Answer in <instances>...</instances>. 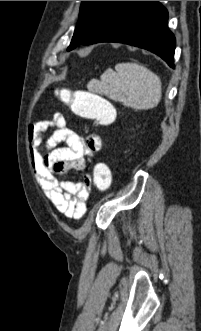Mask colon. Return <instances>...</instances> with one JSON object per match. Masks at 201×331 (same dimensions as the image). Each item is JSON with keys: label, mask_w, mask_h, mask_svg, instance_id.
Instances as JSON below:
<instances>
[{"label": "colon", "mask_w": 201, "mask_h": 331, "mask_svg": "<svg viewBox=\"0 0 201 331\" xmlns=\"http://www.w3.org/2000/svg\"><path fill=\"white\" fill-rule=\"evenodd\" d=\"M72 111L83 118L89 119L99 126H107L114 122L116 111L112 104L98 93L62 89L57 92ZM112 182L111 171L106 164L98 163L93 169L92 185L98 192L107 191Z\"/></svg>", "instance_id": "obj_1"}]
</instances>
